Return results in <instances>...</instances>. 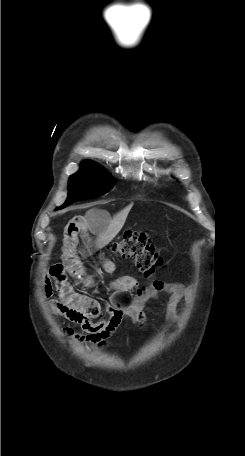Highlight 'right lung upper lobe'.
<instances>
[{
	"label": "right lung upper lobe",
	"instance_id": "cb5924a9",
	"mask_svg": "<svg viewBox=\"0 0 245 456\" xmlns=\"http://www.w3.org/2000/svg\"><path fill=\"white\" fill-rule=\"evenodd\" d=\"M93 166H96V165L93 164L92 162H85L82 167H93Z\"/></svg>",
	"mask_w": 245,
	"mask_h": 456
}]
</instances>
